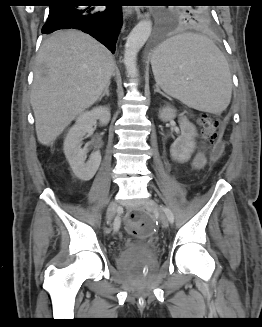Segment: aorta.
<instances>
[{
	"label": "aorta",
	"instance_id": "762f6f07",
	"mask_svg": "<svg viewBox=\"0 0 262 327\" xmlns=\"http://www.w3.org/2000/svg\"><path fill=\"white\" fill-rule=\"evenodd\" d=\"M152 31V23L148 20L140 21L130 32L124 49V65L129 77H138L137 55L148 40Z\"/></svg>",
	"mask_w": 262,
	"mask_h": 327
}]
</instances>
